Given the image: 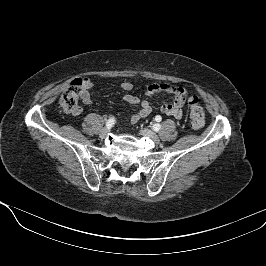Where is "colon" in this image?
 <instances>
[{"label":"colon","instance_id":"obj_1","mask_svg":"<svg viewBox=\"0 0 266 266\" xmlns=\"http://www.w3.org/2000/svg\"><path fill=\"white\" fill-rule=\"evenodd\" d=\"M82 79H76L70 87L62 94L61 106L67 112H74L78 107ZM190 123L194 129H199L204 125L205 114L202 106L196 97L189 99Z\"/></svg>","mask_w":266,"mask_h":266}]
</instances>
